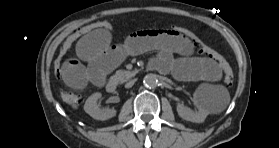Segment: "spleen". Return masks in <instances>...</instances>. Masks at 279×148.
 <instances>
[{
    "mask_svg": "<svg viewBox=\"0 0 279 148\" xmlns=\"http://www.w3.org/2000/svg\"><path fill=\"white\" fill-rule=\"evenodd\" d=\"M198 91L211 113L222 112L230 102V96L223 86H200Z\"/></svg>",
    "mask_w": 279,
    "mask_h": 148,
    "instance_id": "3e777b00",
    "label": "spleen"
}]
</instances>
